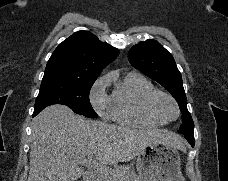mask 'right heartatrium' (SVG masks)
Wrapping results in <instances>:
<instances>
[{
  "label": "right heart atrium",
  "mask_w": 228,
  "mask_h": 181,
  "mask_svg": "<svg viewBox=\"0 0 228 181\" xmlns=\"http://www.w3.org/2000/svg\"><path fill=\"white\" fill-rule=\"evenodd\" d=\"M97 92L93 96L94 107L103 119L111 117L110 99L103 93L101 83L97 87Z\"/></svg>",
  "instance_id": "1"
}]
</instances>
